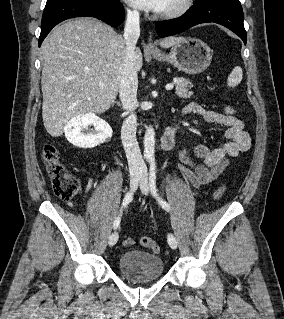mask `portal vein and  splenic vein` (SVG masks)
I'll return each instance as SVG.
<instances>
[{
	"instance_id": "obj_1",
	"label": "portal vein and splenic vein",
	"mask_w": 284,
	"mask_h": 319,
	"mask_svg": "<svg viewBox=\"0 0 284 319\" xmlns=\"http://www.w3.org/2000/svg\"><path fill=\"white\" fill-rule=\"evenodd\" d=\"M104 86H105V83H104V82H100V83H99V87H104ZM173 87H174V84H173V83L167 84V85L165 86L166 90H172Z\"/></svg>"
}]
</instances>
